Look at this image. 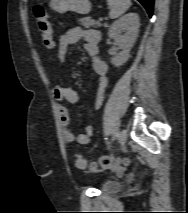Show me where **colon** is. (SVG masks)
<instances>
[{
	"instance_id": "obj_1",
	"label": "colon",
	"mask_w": 188,
	"mask_h": 213,
	"mask_svg": "<svg viewBox=\"0 0 188 213\" xmlns=\"http://www.w3.org/2000/svg\"><path fill=\"white\" fill-rule=\"evenodd\" d=\"M33 14L35 16L38 30L43 44L48 49L54 48L52 28L49 17L45 7L42 4H36L33 7ZM130 164L128 158L120 157H102L97 163L88 164L85 158L81 155L76 156L75 165L79 169H89L90 171H97L100 169H120L127 167Z\"/></svg>"
}]
</instances>
